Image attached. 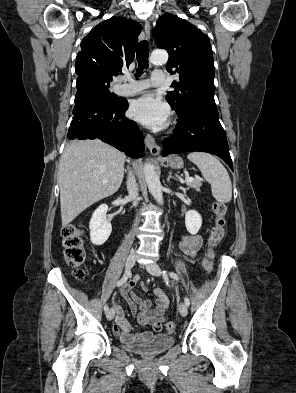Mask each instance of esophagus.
<instances>
[{"instance_id":"34e87169","label":"esophagus","mask_w":296,"mask_h":393,"mask_svg":"<svg viewBox=\"0 0 296 393\" xmlns=\"http://www.w3.org/2000/svg\"><path fill=\"white\" fill-rule=\"evenodd\" d=\"M143 36L146 40H149V38H150V24L148 21L145 22ZM145 144L148 147V149L150 150L151 154H153V155L159 154L160 147L157 145V143L155 142V139L150 134H147L145 136Z\"/></svg>"}]
</instances>
